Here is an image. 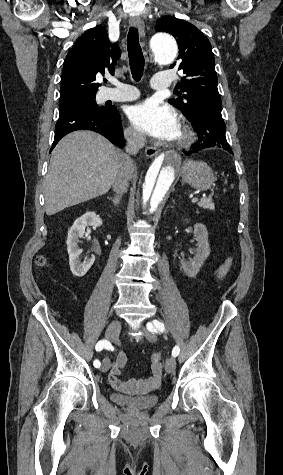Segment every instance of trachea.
I'll return each mask as SVG.
<instances>
[{
	"label": "trachea",
	"mask_w": 283,
	"mask_h": 475,
	"mask_svg": "<svg viewBox=\"0 0 283 475\" xmlns=\"http://www.w3.org/2000/svg\"><path fill=\"white\" fill-rule=\"evenodd\" d=\"M127 50L132 77L136 82H139L143 76L145 60L139 43L138 30L135 27L129 29Z\"/></svg>",
	"instance_id": "3493384b"
}]
</instances>
